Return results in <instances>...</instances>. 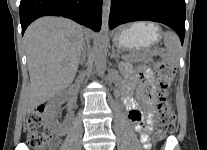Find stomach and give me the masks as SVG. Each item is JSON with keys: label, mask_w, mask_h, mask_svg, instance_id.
Returning a JSON list of instances; mask_svg holds the SVG:
<instances>
[{"label": "stomach", "mask_w": 207, "mask_h": 150, "mask_svg": "<svg viewBox=\"0 0 207 150\" xmlns=\"http://www.w3.org/2000/svg\"><path fill=\"white\" fill-rule=\"evenodd\" d=\"M161 30L153 22H136L119 30L114 38L115 46L128 54L143 53L160 38Z\"/></svg>", "instance_id": "obj_1"}]
</instances>
